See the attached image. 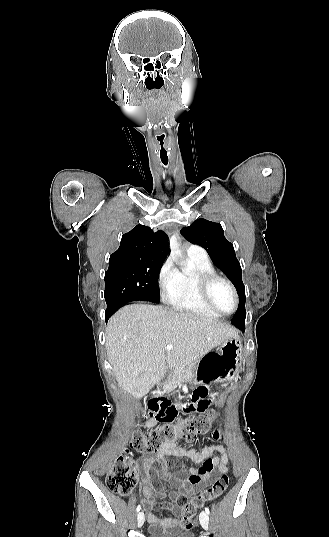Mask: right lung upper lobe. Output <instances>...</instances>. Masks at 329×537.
Here are the masks:
<instances>
[{
	"instance_id": "1",
	"label": "right lung upper lobe",
	"mask_w": 329,
	"mask_h": 537,
	"mask_svg": "<svg viewBox=\"0 0 329 537\" xmlns=\"http://www.w3.org/2000/svg\"><path fill=\"white\" fill-rule=\"evenodd\" d=\"M168 236L137 225L124 234L119 249L109 259V268L163 263L168 255Z\"/></svg>"
}]
</instances>
